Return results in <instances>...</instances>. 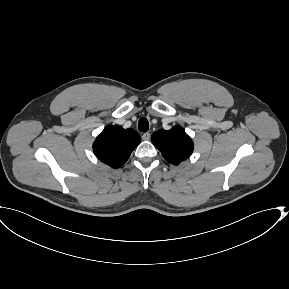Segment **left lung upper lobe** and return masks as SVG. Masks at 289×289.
Segmentation results:
<instances>
[{
    "mask_svg": "<svg viewBox=\"0 0 289 289\" xmlns=\"http://www.w3.org/2000/svg\"><path fill=\"white\" fill-rule=\"evenodd\" d=\"M151 140L163 157L174 165H178L193 152L191 138L179 126L170 130H158L152 134Z\"/></svg>",
    "mask_w": 289,
    "mask_h": 289,
    "instance_id": "left-lung-upper-lobe-1",
    "label": "left lung upper lobe"
}]
</instances>
